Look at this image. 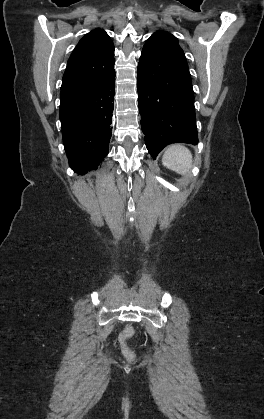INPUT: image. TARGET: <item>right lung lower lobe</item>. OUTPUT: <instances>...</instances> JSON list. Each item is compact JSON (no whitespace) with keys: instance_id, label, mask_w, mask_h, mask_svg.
I'll return each mask as SVG.
<instances>
[{"instance_id":"right-lung-lower-lobe-1","label":"right lung lower lobe","mask_w":264,"mask_h":419,"mask_svg":"<svg viewBox=\"0 0 264 419\" xmlns=\"http://www.w3.org/2000/svg\"><path fill=\"white\" fill-rule=\"evenodd\" d=\"M114 90L115 72L102 82L61 90L63 143L69 165L78 174L96 170L108 154Z\"/></svg>"}]
</instances>
